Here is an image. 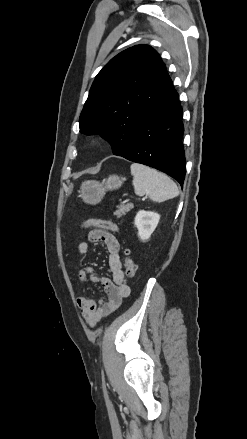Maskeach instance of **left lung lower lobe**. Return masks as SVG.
<instances>
[{"instance_id":"0a47b994","label":"left lung lower lobe","mask_w":247,"mask_h":439,"mask_svg":"<svg viewBox=\"0 0 247 439\" xmlns=\"http://www.w3.org/2000/svg\"><path fill=\"white\" fill-rule=\"evenodd\" d=\"M174 90L139 125L135 139L122 157L159 169L181 185L185 176L182 108Z\"/></svg>"}]
</instances>
